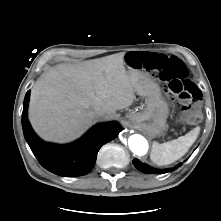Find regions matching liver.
Here are the masks:
<instances>
[{"label": "liver", "instance_id": "1", "mask_svg": "<svg viewBox=\"0 0 221 221\" xmlns=\"http://www.w3.org/2000/svg\"><path fill=\"white\" fill-rule=\"evenodd\" d=\"M125 53L75 65L61 64L44 73L31 90L29 120L46 141L65 143L81 136L105 112V120L135 100L137 75L124 66Z\"/></svg>", "mask_w": 221, "mask_h": 221}]
</instances>
